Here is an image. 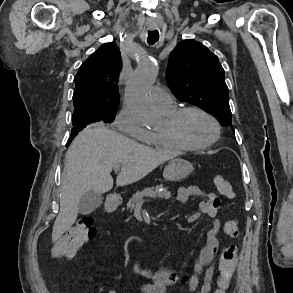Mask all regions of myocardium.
<instances>
[{
  "instance_id": "obj_1",
  "label": "myocardium",
  "mask_w": 293,
  "mask_h": 293,
  "mask_svg": "<svg viewBox=\"0 0 293 293\" xmlns=\"http://www.w3.org/2000/svg\"><path fill=\"white\" fill-rule=\"evenodd\" d=\"M191 112H195V113H199V114L203 115L212 123L215 133H214V136L211 140H209L205 143H202V144H193V143L188 142L184 138V136L182 135L181 130H180V124H181L183 117L186 114L191 113ZM163 131L170 138H172L173 140H175L179 144L183 145L187 149H191V150L207 149V148L211 147L212 145H214L216 142H218L221 137V126H220L218 120L208 111H206L200 107H196V106H188V107L176 109L171 115L167 116L166 126Z\"/></svg>"
}]
</instances>
